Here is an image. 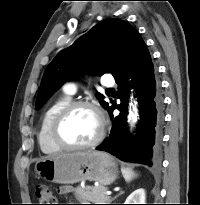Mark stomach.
I'll list each match as a JSON object with an SVG mask.
<instances>
[{
    "label": "stomach",
    "mask_w": 200,
    "mask_h": 205,
    "mask_svg": "<svg viewBox=\"0 0 200 205\" xmlns=\"http://www.w3.org/2000/svg\"><path fill=\"white\" fill-rule=\"evenodd\" d=\"M35 170L44 179L60 184L90 180L106 186L113 183L118 175L113 157L96 151L45 157L36 162Z\"/></svg>",
    "instance_id": "1"
}]
</instances>
